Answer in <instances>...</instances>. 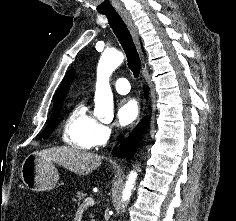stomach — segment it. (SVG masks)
<instances>
[{
  "label": "stomach",
  "instance_id": "1",
  "mask_svg": "<svg viewBox=\"0 0 236 221\" xmlns=\"http://www.w3.org/2000/svg\"><path fill=\"white\" fill-rule=\"evenodd\" d=\"M21 179L32 191H47L56 186L59 174L52 161L35 152L29 154L23 161Z\"/></svg>",
  "mask_w": 236,
  "mask_h": 221
}]
</instances>
